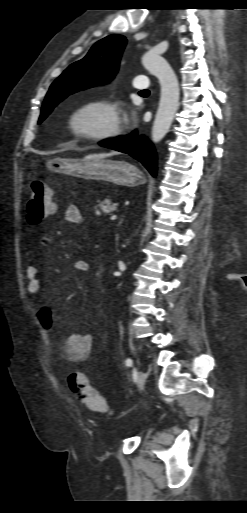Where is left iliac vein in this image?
<instances>
[{"label": "left iliac vein", "instance_id": "left-iliac-vein-1", "mask_svg": "<svg viewBox=\"0 0 247 513\" xmlns=\"http://www.w3.org/2000/svg\"><path fill=\"white\" fill-rule=\"evenodd\" d=\"M146 374L144 372H139L138 374V391H143L146 383Z\"/></svg>", "mask_w": 247, "mask_h": 513}]
</instances>
